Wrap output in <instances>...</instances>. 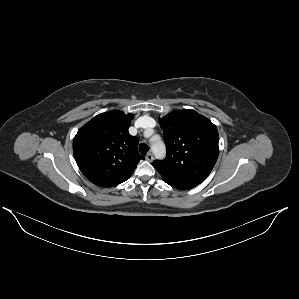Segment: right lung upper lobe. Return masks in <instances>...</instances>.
<instances>
[{
	"mask_svg": "<svg viewBox=\"0 0 299 299\" xmlns=\"http://www.w3.org/2000/svg\"><path fill=\"white\" fill-rule=\"evenodd\" d=\"M132 114L110 111L95 116L76 134L73 152L78 167L94 184L116 186L126 181L138 162L139 140L128 132Z\"/></svg>",
	"mask_w": 299,
	"mask_h": 299,
	"instance_id": "right-lung-upper-lobe-1",
	"label": "right lung upper lobe"
}]
</instances>
